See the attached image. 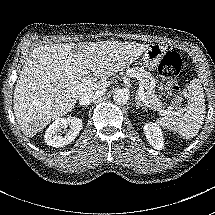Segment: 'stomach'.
Listing matches in <instances>:
<instances>
[{"mask_svg": "<svg viewBox=\"0 0 215 215\" xmlns=\"http://www.w3.org/2000/svg\"><path fill=\"white\" fill-rule=\"evenodd\" d=\"M167 53L168 49L166 46L156 43L150 44L141 55L142 64L149 69H156Z\"/></svg>", "mask_w": 215, "mask_h": 215, "instance_id": "1", "label": "stomach"}]
</instances>
